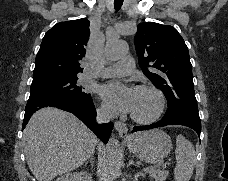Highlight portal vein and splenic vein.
<instances>
[{
	"instance_id": "18ae733b",
	"label": "portal vein and splenic vein",
	"mask_w": 228,
	"mask_h": 181,
	"mask_svg": "<svg viewBox=\"0 0 228 181\" xmlns=\"http://www.w3.org/2000/svg\"><path fill=\"white\" fill-rule=\"evenodd\" d=\"M158 167L159 168L160 167L162 168L163 166L162 165L161 166L160 165L158 166L157 164H155V165L154 164H149L148 166H142L140 168L141 169V174H149V172H150L149 170L150 169H154V168L157 169Z\"/></svg>"
}]
</instances>
